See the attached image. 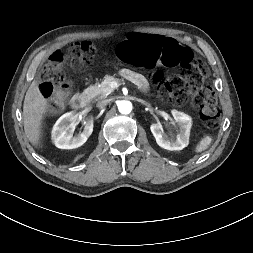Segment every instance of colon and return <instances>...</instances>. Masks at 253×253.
I'll return each instance as SVG.
<instances>
[{"label": "colon", "instance_id": "colon-1", "mask_svg": "<svg viewBox=\"0 0 253 253\" xmlns=\"http://www.w3.org/2000/svg\"><path fill=\"white\" fill-rule=\"evenodd\" d=\"M99 55L98 49L90 42H74L66 53L56 51L43 67L40 91L52 101L53 109L59 108L70 90V82L63 71L69 63L75 67L90 64ZM120 60L134 66L178 69L171 77L154 72L151 81L159 87L161 94L172 102L181 104L188 95L200 112L204 124L209 128L217 126L219 109L215 94L205 86L208 76L206 65L193 53L173 39L156 34H132L117 48Z\"/></svg>", "mask_w": 253, "mask_h": 253}]
</instances>
